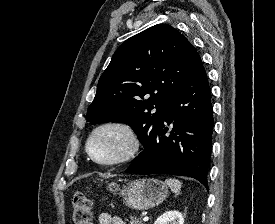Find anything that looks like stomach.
<instances>
[{"instance_id": "obj_1", "label": "stomach", "mask_w": 275, "mask_h": 224, "mask_svg": "<svg viewBox=\"0 0 275 224\" xmlns=\"http://www.w3.org/2000/svg\"><path fill=\"white\" fill-rule=\"evenodd\" d=\"M120 195L126 206L135 210H147L158 206L166 199L168 187L159 179H138L124 185Z\"/></svg>"}]
</instances>
